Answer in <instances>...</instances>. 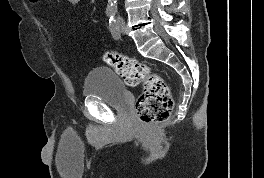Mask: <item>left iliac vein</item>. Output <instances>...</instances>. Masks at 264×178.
I'll use <instances>...</instances> for the list:
<instances>
[{"label": "left iliac vein", "mask_w": 264, "mask_h": 178, "mask_svg": "<svg viewBox=\"0 0 264 178\" xmlns=\"http://www.w3.org/2000/svg\"><path fill=\"white\" fill-rule=\"evenodd\" d=\"M116 26L119 33L125 32V21L122 17L117 18Z\"/></svg>", "instance_id": "left-iliac-vein-1"}]
</instances>
